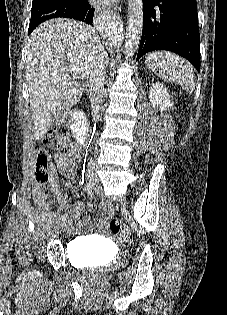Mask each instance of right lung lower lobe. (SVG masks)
<instances>
[{"mask_svg": "<svg viewBox=\"0 0 227 315\" xmlns=\"http://www.w3.org/2000/svg\"><path fill=\"white\" fill-rule=\"evenodd\" d=\"M94 9L91 8L87 0H80L64 12V18H73L80 21H85L87 24H92Z\"/></svg>", "mask_w": 227, "mask_h": 315, "instance_id": "obj_1", "label": "right lung lower lobe"}]
</instances>
